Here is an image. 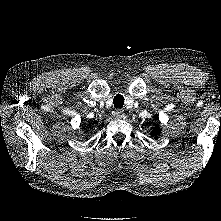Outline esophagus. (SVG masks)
<instances>
[{"label":"esophagus","mask_w":221,"mask_h":221,"mask_svg":"<svg viewBox=\"0 0 221 221\" xmlns=\"http://www.w3.org/2000/svg\"><path fill=\"white\" fill-rule=\"evenodd\" d=\"M123 115H124V113H123V110L122 109H116L115 111H114V116H115V118H122L123 117Z\"/></svg>","instance_id":"esophagus-1"}]
</instances>
